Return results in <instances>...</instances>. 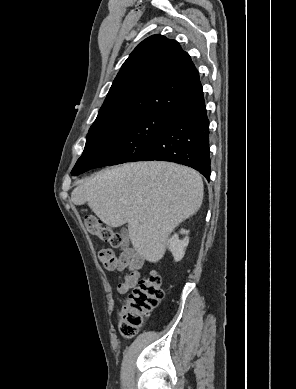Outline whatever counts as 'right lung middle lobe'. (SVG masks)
Wrapping results in <instances>:
<instances>
[{
	"instance_id": "right-lung-middle-lobe-1",
	"label": "right lung middle lobe",
	"mask_w": 296,
	"mask_h": 389,
	"mask_svg": "<svg viewBox=\"0 0 296 389\" xmlns=\"http://www.w3.org/2000/svg\"><path fill=\"white\" fill-rule=\"evenodd\" d=\"M174 118L158 113L109 115L96 118L82 156L74 168H93L139 161L142 154Z\"/></svg>"
}]
</instances>
